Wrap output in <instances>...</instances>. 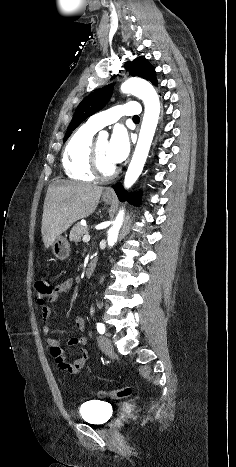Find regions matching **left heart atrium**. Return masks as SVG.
<instances>
[{"label": "left heart atrium", "mask_w": 236, "mask_h": 467, "mask_svg": "<svg viewBox=\"0 0 236 467\" xmlns=\"http://www.w3.org/2000/svg\"><path fill=\"white\" fill-rule=\"evenodd\" d=\"M130 151V139L128 132L122 126L114 128L110 141L108 142L107 154L114 164L121 163L126 159Z\"/></svg>", "instance_id": "1"}]
</instances>
